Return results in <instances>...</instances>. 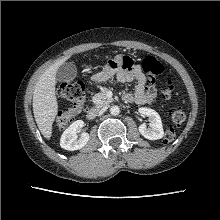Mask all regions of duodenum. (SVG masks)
Here are the masks:
<instances>
[{
	"label": "duodenum",
	"instance_id": "duodenum-1",
	"mask_svg": "<svg viewBox=\"0 0 220 220\" xmlns=\"http://www.w3.org/2000/svg\"><path fill=\"white\" fill-rule=\"evenodd\" d=\"M98 109L93 107L91 108L87 113V119L88 120H94L97 117Z\"/></svg>",
	"mask_w": 220,
	"mask_h": 220
}]
</instances>
